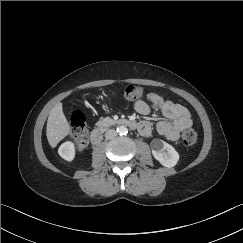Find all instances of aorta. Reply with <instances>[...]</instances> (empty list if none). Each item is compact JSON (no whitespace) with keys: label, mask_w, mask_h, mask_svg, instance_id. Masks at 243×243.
Segmentation results:
<instances>
[{"label":"aorta","mask_w":243,"mask_h":243,"mask_svg":"<svg viewBox=\"0 0 243 243\" xmlns=\"http://www.w3.org/2000/svg\"><path fill=\"white\" fill-rule=\"evenodd\" d=\"M116 132L119 134V135H125L127 134L128 130L125 126H119L116 130Z\"/></svg>","instance_id":"1"}]
</instances>
